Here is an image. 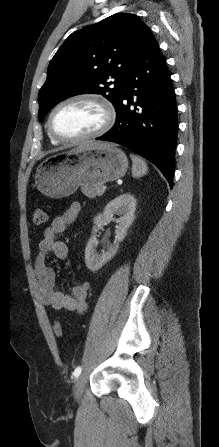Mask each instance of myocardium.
Here are the masks:
<instances>
[{"mask_svg":"<svg viewBox=\"0 0 219 447\" xmlns=\"http://www.w3.org/2000/svg\"><path fill=\"white\" fill-rule=\"evenodd\" d=\"M76 102H89L97 105L102 113H103V122L102 124L93 132L76 137V138H66L58 135L53 129V117L55 113L62 107ZM116 120V111L112 103L105 97L95 94V93H78L72 96H69L62 101H60L55 107L51 110L48 119H47V130L49 135L55 140L62 143H81L84 141H88L91 139H95L107 133L112 126L114 125Z\"/></svg>","mask_w":219,"mask_h":447,"instance_id":"myocardium-1","label":"myocardium"}]
</instances>
